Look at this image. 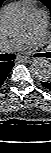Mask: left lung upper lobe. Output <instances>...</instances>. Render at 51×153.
Listing matches in <instances>:
<instances>
[{"instance_id":"1","label":"left lung upper lobe","mask_w":51,"mask_h":153,"mask_svg":"<svg viewBox=\"0 0 51 153\" xmlns=\"http://www.w3.org/2000/svg\"><path fill=\"white\" fill-rule=\"evenodd\" d=\"M43 4H45L51 11V0H40Z\"/></svg>"}]
</instances>
